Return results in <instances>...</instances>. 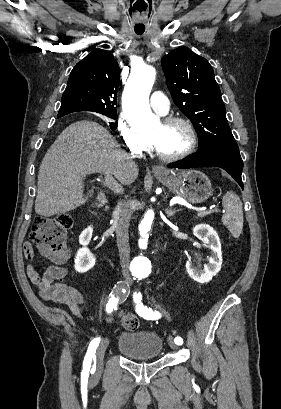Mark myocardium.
I'll return each mask as SVG.
<instances>
[{
  "mask_svg": "<svg viewBox=\"0 0 281 409\" xmlns=\"http://www.w3.org/2000/svg\"><path fill=\"white\" fill-rule=\"evenodd\" d=\"M174 123L183 125L184 128L188 132L189 142H188L187 147L183 151L177 154H174V155L164 154L154 146L152 141L145 138L146 146L148 150L153 152L159 159H161L164 162H176V161L183 160L189 155H191L197 146V133H196L194 126L188 119L181 117V116H168L161 120V124L163 126H168Z\"/></svg>",
  "mask_w": 281,
  "mask_h": 409,
  "instance_id": "myocardium-1",
  "label": "myocardium"
}]
</instances>
